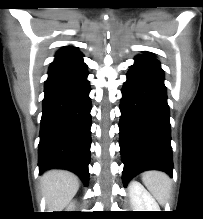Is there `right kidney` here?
I'll use <instances>...</instances> for the list:
<instances>
[{"label":"right kidney","instance_id":"1","mask_svg":"<svg viewBox=\"0 0 203 219\" xmlns=\"http://www.w3.org/2000/svg\"><path fill=\"white\" fill-rule=\"evenodd\" d=\"M72 207H73V205H69L68 208H67L68 211H70V209H72Z\"/></svg>","mask_w":203,"mask_h":219}]
</instances>
